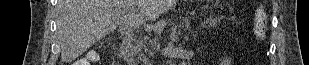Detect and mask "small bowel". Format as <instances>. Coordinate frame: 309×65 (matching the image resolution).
I'll return each instance as SVG.
<instances>
[{
    "label": "small bowel",
    "instance_id": "1",
    "mask_svg": "<svg viewBox=\"0 0 309 65\" xmlns=\"http://www.w3.org/2000/svg\"><path fill=\"white\" fill-rule=\"evenodd\" d=\"M94 58H95V55H94V53H93L92 56L87 57V59L83 60L82 63H86V64H87L90 60H93Z\"/></svg>",
    "mask_w": 309,
    "mask_h": 65
}]
</instances>
